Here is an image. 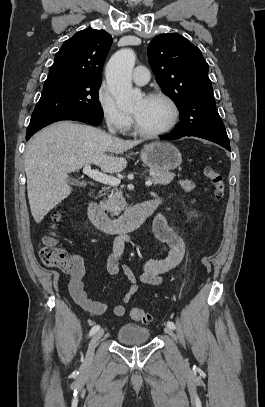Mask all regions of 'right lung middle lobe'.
<instances>
[{"label": "right lung middle lobe", "instance_id": "1", "mask_svg": "<svg viewBox=\"0 0 265 407\" xmlns=\"http://www.w3.org/2000/svg\"><path fill=\"white\" fill-rule=\"evenodd\" d=\"M101 80L60 74L48 77L32 114L27 134L74 115L103 117L98 98Z\"/></svg>", "mask_w": 265, "mask_h": 407}]
</instances>
